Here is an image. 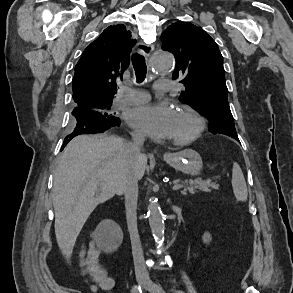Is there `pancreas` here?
Segmentation results:
<instances>
[{"mask_svg":"<svg viewBox=\"0 0 293 293\" xmlns=\"http://www.w3.org/2000/svg\"><path fill=\"white\" fill-rule=\"evenodd\" d=\"M178 181H174V184H176ZM183 190L181 193L183 195H187V192L191 194H195L198 191L203 192H211L212 189H218V185L211 182L210 179L202 180L200 178L195 180H185L182 182Z\"/></svg>","mask_w":293,"mask_h":293,"instance_id":"obj_1","label":"pancreas"}]
</instances>
